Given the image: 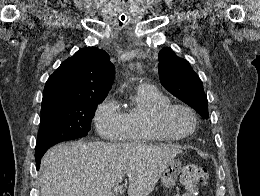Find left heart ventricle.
<instances>
[{"label": "left heart ventricle", "mask_w": 260, "mask_h": 196, "mask_svg": "<svg viewBox=\"0 0 260 196\" xmlns=\"http://www.w3.org/2000/svg\"><path fill=\"white\" fill-rule=\"evenodd\" d=\"M156 115V110L152 112L151 119ZM165 125L175 133L182 134L193 126L191 117L181 110H172L165 118Z\"/></svg>", "instance_id": "b2bd125f"}]
</instances>
